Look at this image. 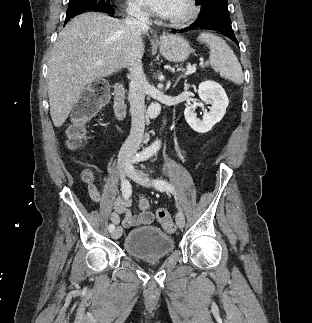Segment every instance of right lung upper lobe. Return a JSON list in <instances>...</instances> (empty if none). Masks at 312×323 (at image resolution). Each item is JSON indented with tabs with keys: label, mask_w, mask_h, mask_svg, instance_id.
<instances>
[{
	"label": "right lung upper lobe",
	"mask_w": 312,
	"mask_h": 323,
	"mask_svg": "<svg viewBox=\"0 0 312 323\" xmlns=\"http://www.w3.org/2000/svg\"><path fill=\"white\" fill-rule=\"evenodd\" d=\"M88 11H91V10H88ZM95 11H105V10H95Z\"/></svg>",
	"instance_id": "obj_1"
}]
</instances>
